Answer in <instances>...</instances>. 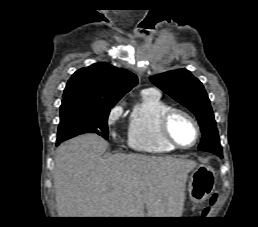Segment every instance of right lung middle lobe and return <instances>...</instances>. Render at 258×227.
<instances>
[{"label": "right lung middle lobe", "instance_id": "obj_1", "mask_svg": "<svg viewBox=\"0 0 258 227\" xmlns=\"http://www.w3.org/2000/svg\"><path fill=\"white\" fill-rule=\"evenodd\" d=\"M113 106L63 100L57 140L63 142L83 133H96L108 139L107 119Z\"/></svg>", "mask_w": 258, "mask_h": 227}]
</instances>
